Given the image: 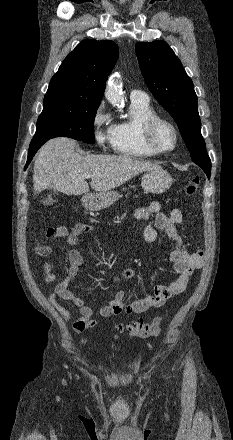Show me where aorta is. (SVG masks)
<instances>
[{"label": "aorta", "instance_id": "762f6f07", "mask_svg": "<svg viewBox=\"0 0 233 440\" xmlns=\"http://www.w3.org/2000/svg\"><path fill=\"white\" fill-rule=\"evenodd\" d=\"M105 97L111 104H118L122 100V94H121V87L120 82L115 78H109L106 91H105Z\"/></svg>", "mask_w": 233, "mask_h": 440}]
</instances>
